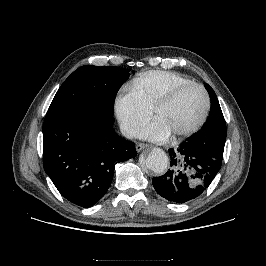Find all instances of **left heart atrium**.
I'll return each mask as SVG.
<instances>
[{
  "label": "left heart atrium",
  "instance_id": "1",
  "mask_svg": "<svg viewBox=\"0 0 266 266\" xmlns=\"http://www.w3.org/2000/svg\"><path fill=\"white\" fill-rule=\"evenodd\" d=\"M169 129L159 120H154L149 125L139 130L138 136L154 141H163L170 136Z\"/></svg>",
  "mask_w": 266,
  "mask_h": 266
}]
</instances>
